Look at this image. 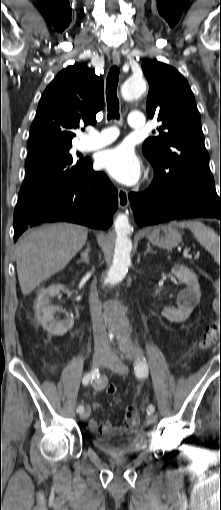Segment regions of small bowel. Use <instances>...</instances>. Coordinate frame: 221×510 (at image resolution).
Listing matches in <instances>:
<instances>
[{
	"instance_id": "c3829d8e",
	"label": "small bowel",
	"mask_w": 221,
	"mask_h": 510,
	"mask_svg": "<svg viewBox=\"0 0 221 510\" xmlns=\"http://www.w3.org/2000/svg\"><path fill=\"white\" fill-rule=\"evenodd\" d=\"M97 387H100L97 385ZM93 410H99L101 408V405L99 403L94 402L92 404ZM137 411L136 408L132 405L128 406L126 408L127 412V418L124 424L120 426L114 427L111 422H104L99 423L95 418H91L89 420V427L92 431L97 432L99 434H115V435H123L132 433L138 424V421H136L132 417V412Z\"/></svg>"
}]
</instances>
